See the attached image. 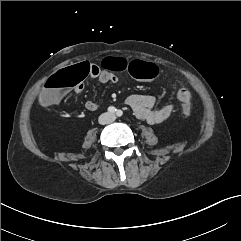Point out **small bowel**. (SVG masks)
Masks as SVG:
<instances>
[{"mask_svg": "<svg viewBox=\"0 0 241 241\" xmlns=\"http://www.w3.org/2000/svg\"><path fill=\"white\" fill-rule=\"evenodd\" d=\"M88 64L91 68L90 74L88 76L97 78L98 81L102 84H116L118 82L119 79L115 73L102 69L98 64ZM83 89L84 86L82 83H80L75 87V92L81 93ZM180 90L187 89L180 88L179 91ZM125 104L133 110L137 118L145 120L150 124H159L165 121L169 118L173 110V106L171 104H167L158 109L155 108L156 98L146 94H132L125 99ZM98 106V103L92 100H88L85 103L86 109L90 111L96 110Z\"/></svg>", "mask_w": 241, "mask_h": 241, "instance_id": "c3829d8e", "label": "small bowel"}]
</instances>
